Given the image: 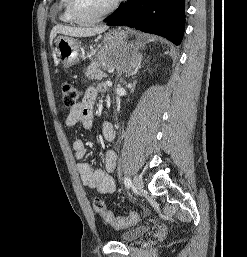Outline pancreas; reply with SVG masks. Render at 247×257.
Listing matches in <instances>:
<instances>
[{
	"label": "pancreas",
	"instance_id": "obj_1",
	"mask_svg": "<svg viewBox=\"0 0 247 257\" xmlns=\"http://www.w3.org/2000/svg\"><path fill=\"white\" fill-rule=\"evenodd\" d=\"M112 65H109L103 61H93L85 71V76L88 79L102 80L107 77L105 70L111 68Z\"/></svg>",
	"mask_w": 247,
	"mask_h": 257
}]
</instances>
